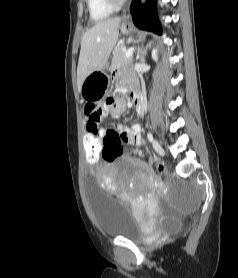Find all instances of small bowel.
Returning <instances> with one entry per match:
<instances>
[{"label": "small bowel", "instance_id": "small-bowel-1", "mask_svg": "<svg viewBox=\"0 0 238 278\" xmlns=\"http://www.w3.org/2000/svg\"><path fill=\"white\" fill-rule=\"evenodd\" d=\"M117 78L120 82L132 84L130 78L123 74H118ZM126 105L123 101L106 100L105 104H89L85 109L87 116L86 136L85 137H105V144H113L114 142L128 143L138 146L142 142L140 125L133 123L130 125L119 126L116 129H103L100 124L103 118L111 114L112 117L118 118L125 111ZM96 163V162H90ZM142 167L145 165L139 162Z\"/></svg>", "mask_w": 238, "mask_h": 278}]
</instances>
